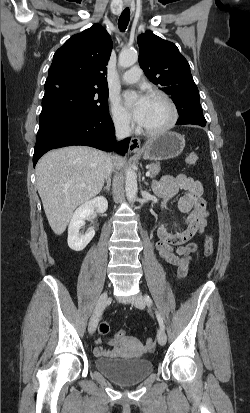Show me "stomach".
<instances>
[{
  "mask_svg": "<svg viewBox=\"0 0 250 413\" xmlns=\"http://www.w3.org/2000/svg\"><path fill=\"white\" fill-rule=\"evenodd\" d=\"M185 147V138L177 132H165L148 140L139 154L147 160H166L179 156Z\"/></svg>",
  "mask_w": 250,
  "mask_h": 413,
  "instance_id": "obj_1",
  "label": "stomach"
}]
</instances>
